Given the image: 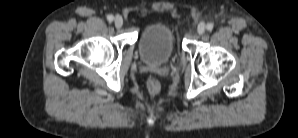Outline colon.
<instances>
[{
    "label": "colon",
    "instance_id": "1",
    "mask_svg": "<svg viewBox=\"0 0 298 138\" xmlns=\"http://www.w3.org/2000/svg\"><path fill=\"white\" fill-rule=\"evenodd\" d=\"M147 88L149 90V92L154 95L156 93H158L159 89H160V83L157 79L155 78H150L147 81Z\"/></svg>",
    "mask_w": 298,
    "mask_h": 138
}]
</instances>
